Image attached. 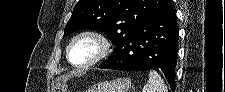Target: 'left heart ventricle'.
I'll list each match as a JSON object with an SVG mask.
<instances>
[{
    "label": "left heart ventricle",
    "instance_id": "left-heart-ventricle-1",
    "mask_svg": "<svg viewBox=\"0 0 225 92\" xmlns=\"http://www.w3.org/2000/svg\"><path fill=\"white\" fill-rule=\"evenodd\" d=\"M98 52L95 41L84 38L78 40L71 49V58L75 63H84L92 59Z\"/></svg>",
    "mask_w": 225,
    "mask_h": 92
}]
</instances>
